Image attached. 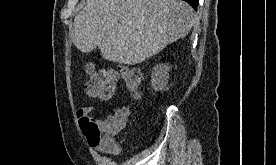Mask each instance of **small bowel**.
I'll return each instance as SVG.
<instances>
[{"label":"small bowel","mask_w":276,"mask_h":165,"mask_svg":"<svg viewBox=\"0 0 276 165\" xmlns=\"http://www.w3.org/2000/svg\"><path fill=\"white\" fill-rule=\"evenodd\" d=\"M97 110L92 107V106H86V107H82L77 111V116L79 117V119H82L84 116L90 115L93 112H96ZM104 125H107V122H102ZM96 148L100 151V152H104V153H111V152H115L116 150H111L109 149V147L107 145L101 144V145H97Z\"/></svg>","instance_id":"obj_1"}]
</instances>
